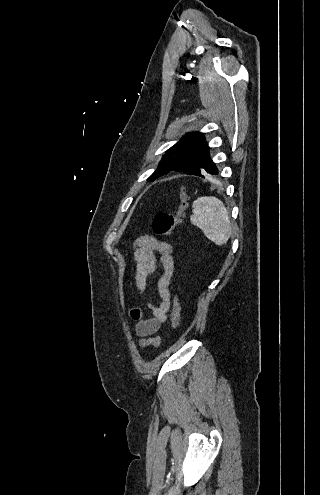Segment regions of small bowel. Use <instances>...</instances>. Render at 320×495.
<instances>
[{"instance_id": "obj_1", "label": "small bowel", "mask_w": 320, "mask_h": 495, "mask_svg": "<svg viewBox=\"0 0 320 495\" xmlns=\"http://www.w3.org/2000/svg\"><path fill=\"white\" fill-rule=\"evenodd\" d=\"M156 253H159V259L156 258ZM133 256L136 264V286L142 294L146 293L149 279L157 268H161V274L157 280L161 301L158 305L146 301V306L151 311L152 316L147 317L143 310L137 307L130 311V316L135 321V333L140 338V345L157 347L160 338L155 336V333L167 321L171 307L169 285L174 273L173 248L168 242L160 240L152 234H145L134 241Z\"/></svg>"}]
</instances>
